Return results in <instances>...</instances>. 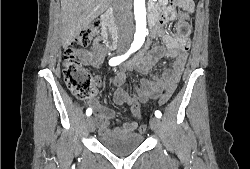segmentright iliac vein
<instances>
[{
  "label": "right iliac vein",
  "mask_w": 250,
  "mask_h": 169,
  "mask_svg": "<svg viewBox=\"0 0 250 169\" xmlns=\"http://www.w3.org/2000/svg\"><path fill=\"white\" fill-rule=\"evenodd\" d=\"M95 125L96 123L93 117H88L86 119V126H87L88 131L93 132L95 129Z\"/></svg>",
  "instance_id": "obj_1"
}]
</instances>
